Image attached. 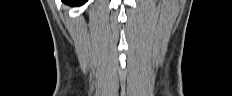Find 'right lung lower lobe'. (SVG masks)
Segmentation results:
<instances>
[{"label": "right lung lower lobe", "mask_w": 232, "mask_h": 96, "mask_svg": "<svg viewBox=\"0 0 232 96\" xmlns=\"http://www.w3.org/2000/svg\"><path fill=\"white\" fill-rule=\"evenodd\" d=\"M62 1L66 4L77 6L85 3L87 0H62Z\"/></svg>", "instance_id": "obj_1"}]
</instances>
